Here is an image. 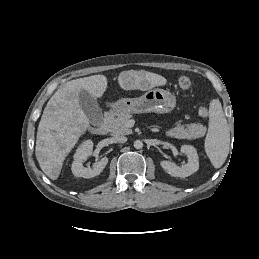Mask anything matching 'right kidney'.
Instances as JSON below:
<instances>
[{
    "label": "right kidney",
    "mask_w": 259,
    "mask_h": 259,
    "mask_svg": "<svg viewBox=\"0 0 259 259\" xmlns=\"http://www.w3.org/2000/svg\"><path fill=\"white\" fill-rule=\"evenodd\" d=\"M93 142L91 140L84 141L76 150L74 161L72 163V173L76 177L92 178L98 176L108 163V158L105 156L100 159L93 168H86L83 162L92 155Z\"/></svg>",
    "instance_id": "ca27d5eb"
}]
</instances>
